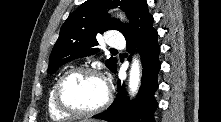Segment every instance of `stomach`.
<instances>
[{
	"label": "stomach",
	"instance_id": "0dacf381",
	"mask_svg": "<svg viewBox=\"0 0 221 122\" xmlns=\"http://www.w3.org/2000/svg\"><path fill=\"white\" fill-rule=\"evenodd\" d=\"M80 122H95L93 120H83V121H80Z\"/></svg>",
	"mask_w": 221,
	"mask_h": 122
}]
</instances>
